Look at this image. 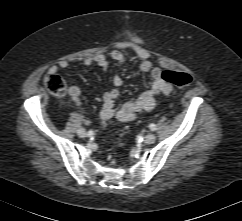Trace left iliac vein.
Listing matches in <instances>:
<instances>
[{
    "instance_id": "left-iliac-vein-1",
    "label": "left iliac vein",
    "mask_w": 242,
    "mask_h": 221,
    "mask_svg": "<svg viewBox=\"0 0 242 221\" xmlns=\"http://www.w3.org/2000/svg\"><path fill=\"white\" fill-rule=\"evenodd\" d=\"M155 140H156V136H155V134H153V133H149V134H147V135L145 136V138H144V142H145L146 144H152V143L155 142Z\"/></svg>"
}]
</instances>
